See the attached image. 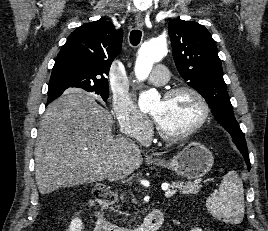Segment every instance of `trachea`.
<instances>
[{
	"instance_id": "1",
	"label": "trachea",
	"mask_w": 268,
	"mask_h": 231,
	"mask_svg": "<svg viewBox=\"0 0 268 231\" xmlns=\"http://www.w3.org/2000/svg\"><path fill=\"white\" fill-rule=\"evenodd\" d=\"M142 32L139 29L132 30L130 33V43L137 46L140 43Z\"/></svg>"
}]
</instances>
